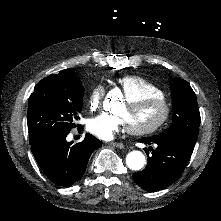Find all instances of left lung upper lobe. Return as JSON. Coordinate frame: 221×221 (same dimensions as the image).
I'll return each mask as SVG.
<instances>
[{
    "instance_id": "left-lung-upper-lobe-1",
    "label": "left lung upper lobe",
    "mask_w": 221,
    "mask_h": 221,
    "mask_svg": "<svg viewBox=\"0 0 221 221\" xmlns=\"http://www.w3.org/2000/svg\"><path fill=\"white\" fill-rule=\"evenodd\" d=\"M173 120L171 126L161 134L178 135L196 143L200 124V112L194 91L189 83L180 78L173 79Z\"/></svg>"
}]
</instances>
